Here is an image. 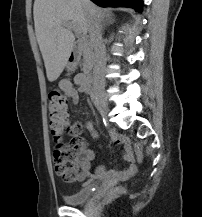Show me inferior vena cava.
Segmentation results:
<instances>
[{"label": "inferior vena cava", "instance_id": "1", "mask_svg": "<svg viewBox=\"0 0 202 217\" xmlns=\"http://www.w3.org/2000/svg\"><path fill=\"white\" fill-rule=\"evenodd\" d=\"M88 31L95 56L93 68L94 85L96 87L103 86L105 81L104 70L106 65V54L99 20H97L95 17L90 18Z\"/></svg>", "mask_w": 202, "mask_h": 217}]
</instances>
